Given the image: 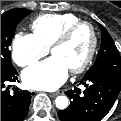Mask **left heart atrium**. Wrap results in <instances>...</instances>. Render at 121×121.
Here are the masks:
<instances>
[{"label": "left heart atrium", "instance_id": "39dd6f15", "mask_svg": "<svg viewBox=\"0 0 121 121\" xmlns=\"http://www.w3.org/2000/svg\"><path fill=\"white\" fill-rule=\"evenodd\" d=\"M69 68L58 56L33 65L23 72V82L32 89L54 90L61 86L68 77Z\"/></svg>", "mask_w": 121, "mask_h": 121}]
</instances>
